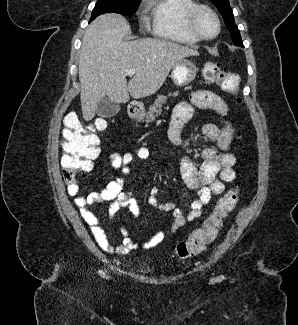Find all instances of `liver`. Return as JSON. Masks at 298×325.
I'll return each instance as SVG.
<instances>
[{
  "instance_id": "liver-1",
  "label": "liver",
  "mask_w": 298,
  "mask_h": 325,
  "mask_svg": "<svg viewBox=\"0 0 298 325\" xmlns=\"http://www.w3.org/2000/svg\"><path fill=\"white\" fill-rule=\"evenodd\" d=\"M131 28L122 14L106 12L88 24L82 38L78 74L84 120H92L98 102L108 96L120 104L155 94L180 58L198 56L196 48L161 38L123 40ZM136 72L127 80L125 70Z\"/></svg>"
}]
</instances>
